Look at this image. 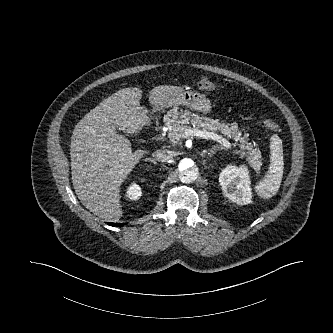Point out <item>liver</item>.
I'll return each mask as SVG.
<instances>
[{"instance_id":"1","label":"liver","mask_w":333,"mask_h":333,"mask_svg":"<svg viewBox=\"0 0 333 333\" xmlns=\"http://www.w3.org/2000/svg\"><path fill=\"white\" fill-rule=\"evenodd\" d=\"M183 89L156 86L149 101L157 109L170 96ZM142 90L120 89L87 113L74 128L71 139L72 183L81 203L95 215L117 221L122 216L120 186L146 153L132 152L128 138L117 134L138 133L148 120L140 107Z\"/></svg>"}]
</instances>
